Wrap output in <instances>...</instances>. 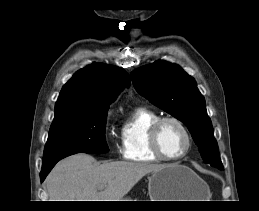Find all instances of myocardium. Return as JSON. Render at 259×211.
Masks as SVG:
<instances>
[{
	"instance_id": "myocardium-1",
	"label": "myocardium",
	"mask_w": 259,
	"mask_h": 211,
	"mask_svg": "<svg viewBox=\"0 0 259 211\" xmlns=\"http://www.w3.org/2000/svg\"><path fill=\"white\" fill-rule=\"evenodd\" d=\"M168 122H173V123L177 124L184 132V134L186 136V140H187V146H186L185 150L181 154H179L177 156H173V157L168 156L164 153V151L161 147V143H160L161 129H162L163 125ZM149 139H150V146H151L152 151L160 159L165 160V161H178V160L183 159L184 157H186L189 154V152L191 151L192 146H193V137L191 135L190 130L188 129V127L185 125V123L182 120H180L177 117H173V116L161 117L160 119H158L151 127Z\"/></svg>"
}]
</instances>
